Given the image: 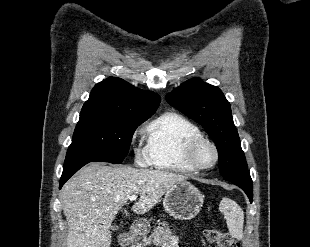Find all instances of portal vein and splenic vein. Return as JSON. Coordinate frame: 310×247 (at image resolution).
Masks as SVG:
<instances>
[{
    "label": "portal vein and splenic vein",
    "instance_id": "portal-vein-and-splenic-vein-1",
    "mask_svg": "<svg viewBox=\"0 0 310 247\" xmlns=\"http://www.w3.org/2000/svg\"><path fill=\"white\" fill-rule=\"evenodd\" d=\"M137 199V195H132L129 197L130 201H135Z\"/></svg>",
    "mask_w": 310,
    "mask_h": 247
}]
</instances>
